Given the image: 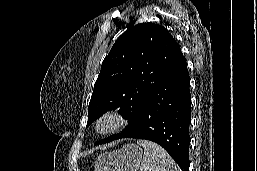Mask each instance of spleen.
I'll use <instances>...</instances> for the list:
<instances>
[{"label":"spleen","instance_id":"obj_1","mask_svg":"<svg viewBox=\"0 0 257 171\" xmlns=\"http://www.w3.org/2000/svg\"><path fill=\"white\" fill-rule=\"evenodd\" d=\"M144 148L140 171H177V166L169 154L158 144L148 140H138Z\"/></svg>","mask_w":257,"mask_h":171}]
</instances>
